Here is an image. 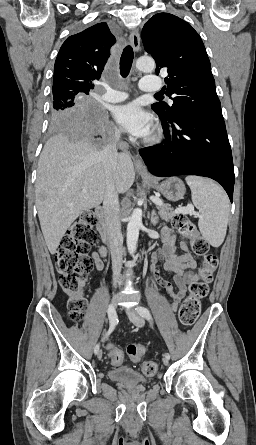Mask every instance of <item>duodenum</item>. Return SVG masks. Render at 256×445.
<instances>
[{
    "instance_id": "1",
    "label": "duodenum",
    "mask_w": 256,
    "mask_h": 445,
    "mask_svg": "<svg viewBox=\"0 0 256 445\" xmlns=\"http://www.w3.org/2000/svg\"><path fill=\"white\" fill-rule=\"evenodd\" d=\"M95 214H96V229L101 236L102 240L107 242L108 236H107V230L106 225L104 221V209L101 206H97L95 208Z\"/></svg>"
}]
</instances>
